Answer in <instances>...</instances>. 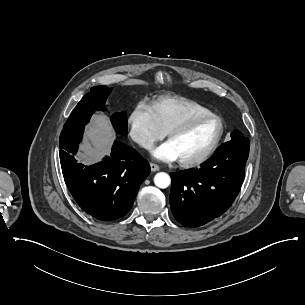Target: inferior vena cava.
Wrapping results in <instances>:
<instances>
[{
  "label": "inferior vena cava",
  "instance_id": "inferior-vena-cava-1",
  "mask_svg": "<svg viewBox=\"0 0 305 305\" xmlns=\"http://www.w3.org/2000/svg\"><path fill=\"white\" fill-rule=\"evenodd\" d=\"M136 142L139 143L144 148H149L151 146V143L148 140H146L140 136H138V138L136 139Z\"/></svg>",
  "mask_w": 305,
  "mask_h": 305
}]
</instances>
